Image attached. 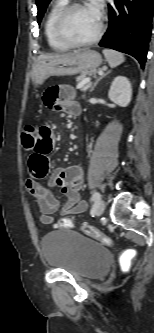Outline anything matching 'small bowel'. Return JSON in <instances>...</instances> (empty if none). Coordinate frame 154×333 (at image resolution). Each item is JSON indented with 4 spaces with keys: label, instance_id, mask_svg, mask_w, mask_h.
<instances>
[{
    "label": "small bowel",
    "instance_id": "obj_1",
    "mask_svg": "<svg viewBox=\"0 0 154 333\" xmlns=\"http://www.w3.org/2000/svg\"><path fill=\"white\" fill-rule=\"evenodd\" d=\"M74 91L70 86H54L44 93V102L48 107L59 108L69 115H77L81 109L73 100ZM55 146V136L48 126L36 127L35 143L28 159L30 179L26 183L28 192L36 199L40 211V222L44 225L54 223V214L60 205L52 192L57 186L66 196L67 200L61 207L63 216L80 214L86 211L87 203L81 199L79 191L83 184L82 169L79 166L57 168L50 175L49 155ZM47 185L39 180L47 177Z\"/></svg>",
    "mask_w": 154,
    "mask_h": 333
}]
</instances>
